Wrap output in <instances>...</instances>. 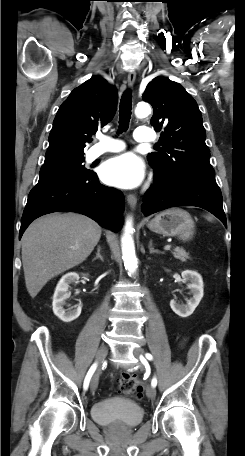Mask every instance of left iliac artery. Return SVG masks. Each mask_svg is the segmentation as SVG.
I'll return each mask as SVG.
<instances>
[{"mask_svg":"<svg viewBox=\"0 0 245 456\" xmlns=\"http://www.w3.org/2000/svg\"><path fill=\"white\" fill-rule=\"evenodd\" d=\"M145 357H146L148 360H152V359H153V356H152L150 353H146V354H145ZM141 359H142V361H143V359H144L143 356L141 357ZM151 385H152L153 387H155V386L157 385V379H156V377H154V378L152 379Z\"/></svg>","mask_w":245,"mask_h":456,"instance_id":"1","label":"left iliac artery"}]
</instances>
